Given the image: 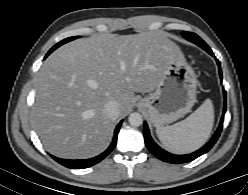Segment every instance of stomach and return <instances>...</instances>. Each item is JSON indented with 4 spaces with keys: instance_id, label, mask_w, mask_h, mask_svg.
I'll return each instance as SVG.
<instances>
[{
    "instance_id": "1",
    "label": "stomach",
    "mask_w": 248,
    "mask_h": 195,
    "mask_svg": "<svg viewBox=\"0 0 248 195\" xmlns=\"http://www.w3.org/2000/svg\"><path fill=\"white\" fill-rule=\"evenodd\" d=\"M197 78L184 57H175L163 71L153 93L141 99L155 127L168 125L190 112L196 102Z\"/></svg>"
}]
</instances>
